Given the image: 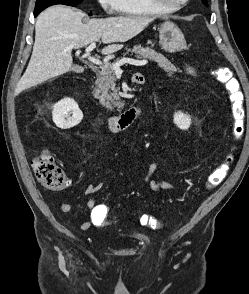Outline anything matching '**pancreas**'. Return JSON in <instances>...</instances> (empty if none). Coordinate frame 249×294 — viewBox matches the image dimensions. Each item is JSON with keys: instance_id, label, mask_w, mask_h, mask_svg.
Instances as JSON below:
<instances>
[{"instance_id": "1", "label": "pancreas", "mask_w": 249, "mask_h": 294, "mask_svg": "<svg viewBox=\"0 0 249 294\" xmlns=\"http://www.w3.org/2000/svg\"><path fill=\"white\" fill-rule=\"evenodd\" d=\"M135 53L137 57L143 59H149L157 63V65L164 69L166 72L173 74L177 72L178 69L161 53H158L150 48H144L140 45L134 46L132 50H128V52ZM120 59H117L115 63L119 62ZM114 63V64H115ZM96 94L100 99L101 103L110 110L114 108L122 109L124 106V102L120 101V94L118 92V88H116L115 83V71L112 66L104 67L100 75H98L96 82Z\"/></svg>"}]
</instances>
